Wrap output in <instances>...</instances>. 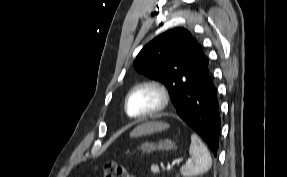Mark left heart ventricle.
I'll list each match as a JSON object with an SVG mask.
<instances>
[{
    "instance_id": "left-heart-ventricle-1",
    "label": "left heart ventricle",
    "mask_w": 287,
    "mask_h": 177,
    "mask_svg": "<svg viewBox=\"0 0 287 177\" xmlns=\"http://www.w3.org/2000/svg\"><path fill=\"white\" fill-rule=\"evenodd\" d=\"M157 94L150 89H140L134 92L129 100L128 110L131 115H141L156 106Z\"/></svg>"
}]
</instances>
